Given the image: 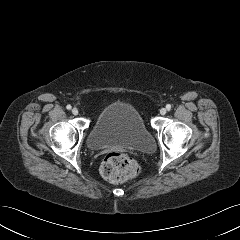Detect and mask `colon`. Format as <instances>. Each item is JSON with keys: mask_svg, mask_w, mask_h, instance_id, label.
Here are the masks:
<instances>
[{"mask_svg": "<svg viewBox=\"0 0 240 240\" xmlns=\"http://www.w3.org/2000/svg\"><path fill=\"white\" fill-rule=\"evenodd\" d=\"M100 171L105 179L121 183L136 177L139 167L132 157L120 152H111L104 158Z\"/></svg>", "mask_w": 240, "mask_h": 240, "instance_id": "obj_1", "label": "colon"}]
</instances>
